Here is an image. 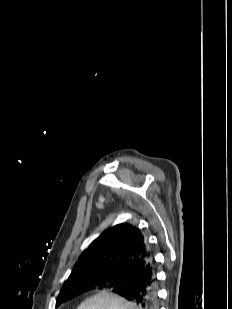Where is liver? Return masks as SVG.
<instances>
[{
  "instance_id": "liver-1",
  "label": "liver",
  "mask_w": 232,
  "mask_h": 309,
  "mask_svg": "<svg viewBox=\"0 0 232 309\" xmlns=\"http://www.w3.org/2000/svg\"><path fill=\"white\" fill-rule=\"evenodd\" d=\"M77 309H139L136 304L108 292H100L84 302Z\"/></svg>"
}]
</instances>
